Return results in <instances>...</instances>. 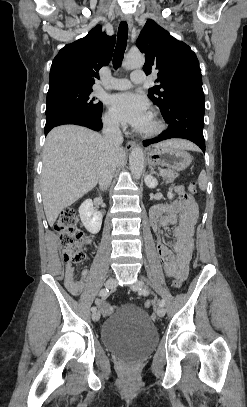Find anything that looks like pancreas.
<instances>
[{"label": "pancreas", "instance_id": "obj_1", "mask_svg": "<svg viewBox=\"0 0 247 407\" xmlns=\"http://www.w3.org/2000/svg\"><path fill=\"white\" fill-rule=\"evenodd\" d=\"M160 176L163 178L164 181L170 183L173 182L179 176V174L172 170H163V172L160 173Z\"/></svg>", "mask_w": 247, "mask_h": 407}]
</instances>
